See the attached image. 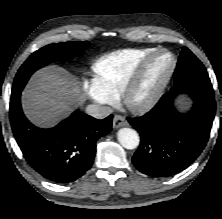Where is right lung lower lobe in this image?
<instances>
[{"label": "right lung lower lobe", "mask_w": 222, "mask_h": 219, "mask_svg": "<svg viewBox=\"0 0 222 219\" xmlns=\"http://www.w3.org/2000/svg\"><path fill=\"white\" fill-rule=\"evenodd\" d=\"M112 117L97 120L75 111L54 128L41 129L24 116L20 93L11 95V126L26 161L56 183L75 181L90 169L96 141L111 131Z\"/></svg>", "instance_id": "obj_1"}]
</instances>
